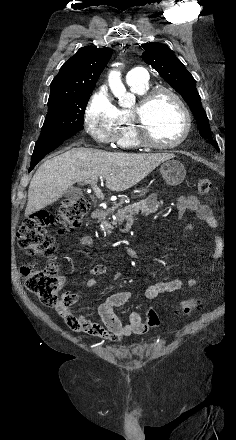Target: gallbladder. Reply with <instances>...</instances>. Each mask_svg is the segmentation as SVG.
Returning a JSON list of instances; mask_svg holds the SVG:
<instances>
[{
    "label": "gallbladder",
    "instance_id": "1",
    "mask_svg": "<svg viewBox=\"0 0 236 440\" xmlns=\"http://www.w3.org/2000/svg\"><path fill=\"white\" fill-rule=\"evenodd\" d=\"M66 195L71 199H78L82 196V192L77 187H72L66 191Z\"/></svg>",
    "mask_w": 236,
    "mask_h": 440
}]
</instances>
